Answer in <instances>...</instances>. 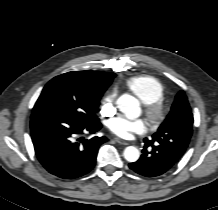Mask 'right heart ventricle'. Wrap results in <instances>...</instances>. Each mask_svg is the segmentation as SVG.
<instances>
[{"label":"right heart ventricle","mask_w":218,"mask_h":210,"mask_svg":"<svg viewBox=\"0 0 218 210\" xmlns=\"http://www.w3.org/2000/svg\"><path fill=\"white\" fill-rule=\"evenodd\" d=\"M125 85L145 104L160 100L164 94L160 81L148 75L131 77Z\"/></svg>","instance_id":"obj_1"}]
</instances>
